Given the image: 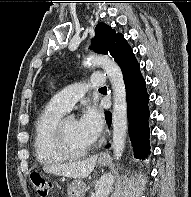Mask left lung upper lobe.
<instances>
[{
  "instance_id": "5c2ea615",
  "label": "left lung upper lobe",
  "mask_w": 191,
  "mask_h": 197,
  "mask_svg": "<svg viewBox=\"0 0 191 197\" xmlns=\"http://www.w3.org/2000/svg\"><path fill=\"white\" fill-rule=\"evenodd\" d=\"M91 49L98 53L110 54L119 64L122 72L139 66L124 36L121 33H116L105 23H99L96 26Z\"/></svg>"
}]
</instances>
